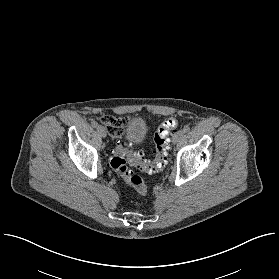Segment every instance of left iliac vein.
I'll return each instance as SVG.
<instances>
[{
    "mask_svg": "<svg viewBox=\"0 0 279 279\" xmlns=\"http://www.w3.org/2000/svg\"><path fill=\"white\" fill-rule=\"evenodd\" d=\"M184 136V132L182 130L177 131L173 136H172V143L176 144L178 143Z\"/></svg>",
    "mask_w": 279,
    "mask_h": 279,
    "instance_id": "left-iliac-vein-1",
    "label": "left iliac vein"
}]
</instances>
